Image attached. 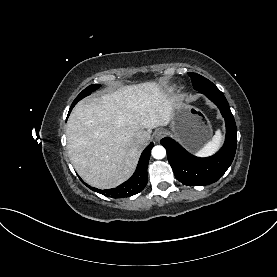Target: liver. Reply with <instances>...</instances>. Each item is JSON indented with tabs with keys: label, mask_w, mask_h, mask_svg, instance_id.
I'll use <instances>...</instances> for the list:
<instances>
[{
	"label": "liver",
	"mask_w": 277,
	"mask_h": 277,
	"mask_svg": "<svg viewBox=\"0 0 277 277\" xmlns=\"http://www.w3.org/2000/svg\"><path fill=\"white\" fill-rule=\"evenodd\" d=\"M175 101L156 82L81 100L66 129L68 155L77 173L100 189L126 181L145 145L135 141L136 132L150 135L152 129L168 125Z\"/></svg>",
	"instance_id": "liver-1"
}]
</instances>
